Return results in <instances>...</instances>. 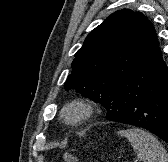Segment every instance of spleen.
<instances>
[{
	"label": "spleen",
	"mask_w": 168,
	"mask_h": 162,
	"mask_svg": "<svg viewBox=\"0 0 168 162\" xmlns=\"http://www.w3.org/2000/svg\"><path fill=\"white\" fill-rule=\"evenodd\" d=\"M120 136L126 137L143 162H168L165 148L149 132L138 128L120 130Z\"/></svg>",
	"instance_id": "obj_1"
}]
</instances>
